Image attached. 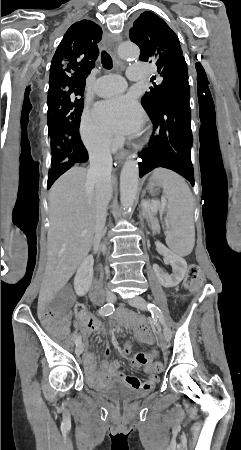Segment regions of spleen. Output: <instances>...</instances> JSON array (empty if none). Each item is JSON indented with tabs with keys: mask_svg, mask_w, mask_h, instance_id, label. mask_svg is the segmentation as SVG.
<instances>
[{
	"mask_svg": "<svg viewBox=\"0 0 241 450\" xmlns=\"http://www.w3.org/2000/svg\"><path fill=\"white\" fill-rule=\"evenodd\" d=\"M151 182H160L168 198L167 220L171 228L165 238L167 246L177 256H189L195 242L193 196L189 186L181 176L164 168L153 172Z\"/></svg>",
	"mask_w": 241,
	"mask_h": 450,
	"instance_id": "1",
	"label": "spleen"
}]
</instances>
